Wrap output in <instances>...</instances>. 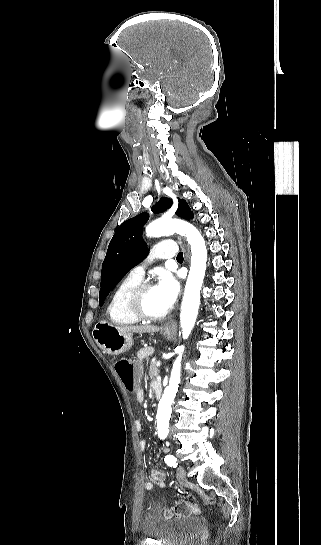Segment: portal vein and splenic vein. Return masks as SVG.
<instances>
[{
  "instance_id": "obj_1",
  "label": "portal vein and splenic vein",
  "mask_w": 321,
  "mask_h": 545,
  "mask_svg": "<svg viewBox=\"0 0 321 545\" xmlns=\"http://www.w3.org/2000/svg\"><path fill=\"white\" fill-rule=\"evenodd\" d=\"M161 361H156L155 366H160Z\"/></svg>"
}]
</instances>
